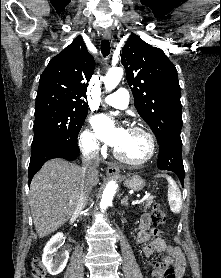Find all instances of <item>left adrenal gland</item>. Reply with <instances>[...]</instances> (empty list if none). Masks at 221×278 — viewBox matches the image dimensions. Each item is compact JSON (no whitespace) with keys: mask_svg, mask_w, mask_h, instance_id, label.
Here are the masks:
<instances>
[{"mask_svg":"<svg viewBox=\"0 0 221 278\" xmlns=\"http://www.w3.org/2000/svg\"><path fill=\"white\" fill-rule=\"evenodd\" d=\"M121 205H128V196H125V197L121 200Z\"/></svg>","mask_w":221,"mask_h":278,"instance_id":"obj_1","label":"left adrenal gland"}]
</instances>
